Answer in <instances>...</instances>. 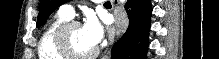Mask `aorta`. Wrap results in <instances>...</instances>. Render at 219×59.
Here are the masks:
<instances>
[{
  "instance_id": "obj_1",
  "label": "aorta",
  "mask_w": 219,
  "mask_h": 59,
  "mask_svg": "<svg viewBox=\"0 0 219 59\" xmlns=\"http://www.w3.org/2000/svg\"><path fill=\"white\" fill-rule=\"evenodd\" d=\"M120 2L125 3L126 1L125 0H121Z\"/></svg>"
}]
</instances>
